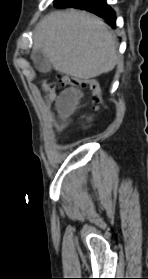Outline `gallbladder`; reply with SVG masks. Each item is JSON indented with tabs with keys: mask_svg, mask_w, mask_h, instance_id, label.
Masks as SVG:
<instances>
[{
	"mask_svg": "<svg viewBox=\"0 0 148 279\" xmlns=\"http://www.w3.org/2000/svg\"><path fill=\"white\" fill-rule=\"evenodd\" d=\"M31 59L39 72L48 73L51 71L52 65L49 58L41 50L33 52Z\"/></svg>",
	"mask_w": 148,
	"mask_h": 279,
	"instance_id": "1",
	"label": "gallbladder"
}]
</instances>
